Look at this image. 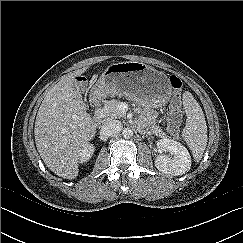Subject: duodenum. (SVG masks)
Masks as SVG:
<instances>
[{
    "mask_svg": "<svg viewBox=\"0 0 243 243\" xmlns=\"http://www.w3.org/2000/svg\"><path fill=\"white\" fill-rule=\"evenodd\" d=\"M95 102H99V100L95 101ZM93 119L96 123L100 124L103 122L104 120V113L101 109H97L94 113Z\"/></svg>",
    "mask_w": 243,
    "mask_h": 243,
    "instance_id": "410a0bca",
    "label": "duodenum"
}]
</instances>
